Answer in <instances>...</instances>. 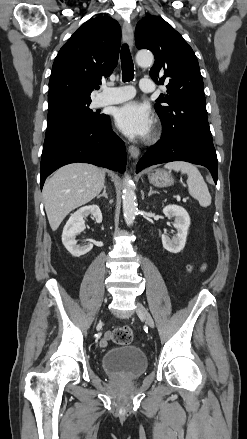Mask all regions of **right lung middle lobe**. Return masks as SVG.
Returning <instances> with one entry per match:
<instances>
[{
    "label": "right lung middle lobe",
    "mask_w": 247,
    "mask_h": 439,
    "mask_svg": "<svg viewBox=\"0 0 247 439\" xmlns=\"http://www.w3.org/2000/svg\"><path fill=\"white\" fill-rule=\"evenodd\" d=\"M91 101H74L63 104L48 112L46 136L61 130L100 123L105 115L90 109Z\"/></svg>",
    "instance_id": "right-lung-middle-lobe-1"
}]
</instances>
